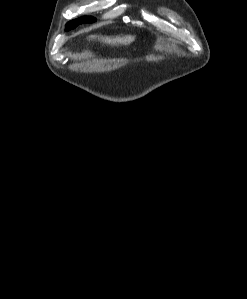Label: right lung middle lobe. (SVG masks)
<instances>
[{"label": "right lung middle lobe", "instance_id": "obj_1", "mask_svg": "<svg viewBox=\"0 0 247 299\" xmlns=\"http://www.w3.org/2000/svg\"><path fill=\"white\" fill-rule=\"evenodd\" d=\"M94 21H95V19L93 17L83 16V17H80L78 19H74V20L68 22L67 25H66V30L73 29V28H75L76 26H78L79 24H82V23H91V22H94Z\"/></svg>", "mask_w": 247, "mask_h": 299}]
</instances>
